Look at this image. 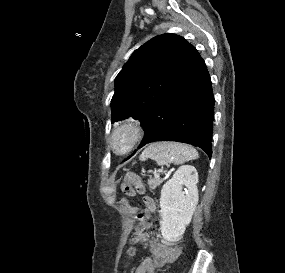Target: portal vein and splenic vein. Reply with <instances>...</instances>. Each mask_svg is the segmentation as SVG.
Here are the masks:
<instances>
[{
  "mask_svg": "<svg viewBox=\"0 0 285 273\" xmlns=\"http://www.w3.org/2000/svg\"><path fill=\"white\" fill-rule=\"evenodd\" d=\"M161 172L162 171L160 170L159 173L155 174V178H159Z\"/></svg>",
  "mask_w": 285,
  "mask_h": 273,
  "instance_id": "1",
  "label": "portal vein and splenic vein"
}]
</instances>
